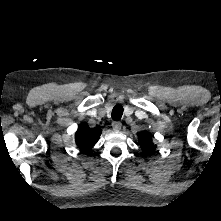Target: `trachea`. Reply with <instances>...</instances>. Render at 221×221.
I'll list each match as a JSON object with an SVG mask.
<instances>
[{
	"label": "trachea",
	"instance_id": "3493384b",
	"mask_svg": "<svg viewBox=\"0 0 221 221\" xmlns=\"http://www.w3.org/2000/svg\"><path fill=\"white\" fill-rule=\"evenodd\" d=\"M123 114V107L121 105H117L113 108L111 117L113 120H120Z\"/></svg>",
	"mask_w": 221,
	"mask_h": 221
}]
</instances>
